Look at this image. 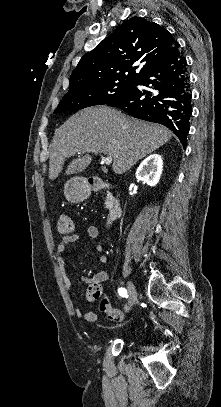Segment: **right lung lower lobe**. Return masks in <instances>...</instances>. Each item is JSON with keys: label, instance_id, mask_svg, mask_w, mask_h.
I'll list each match as a JSON object with an SVG mask.
<instances>
[{"label": "right lung lower lobe", "instance_id": "obj_1", "mask_svg": "<svg viewBox=\"0 0 221 407\" xmlns=\"http://www.w3.org/2000/svg\"><path fill=\"white\" fill-rule=\"evenodd\" d=\"M136 85L146 86L150 90L138 89ZM107 105L135 118L165 125L185 147L192 107L187 63L180 45L168 58L139 76L130 92Z\"/></svg>", "mask_w": 221, "mask_h": 407}]
</instances>
